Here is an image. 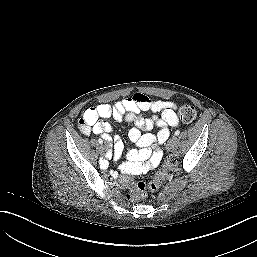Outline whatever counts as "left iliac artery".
Masks as SVG:
<instances>
[{
	"mask_svg": "<svg viewBox=\"0 0 257 257\" xmlns=\"http://www.w3.org/2000/svg\"><path fill=\"white\" fill-rule=\"evenodd\" d=\"M179 134H180V131H179V130L175 131V135H176V136H178Z\"/></svg>",
	"mask_w": 257,
	"mask_h": 257,
	"instance_id": "1",
	"label": "left iliac artery"
}]
</instances>
